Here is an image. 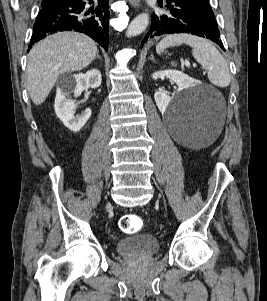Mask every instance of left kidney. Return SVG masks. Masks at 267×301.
I'll return each mask as SVG.
<instances>
[{
  "label": "left kidney",
  "mask_w": 267,
  "mask_h": 301,
  "mask_svg": "<svg viewBox=\"0 0 267 301\" xmlns=\"http://www.w3.org/2000/svg\"><path fill=\"white\" fill-rule=\"evenodd\" d=\"M164 77L169 78L170 80L175 82L178 86L179 91L187 90L190 87H193L194 83L198 82L192 79L191 77H189L188 75L176 70H163L152 74V78L154 80L158 78H164ZM154 98L159 110L162 112L166 111L168 105L172 101V97H169L167 94L163 92H156L154 94Z\"/></svg>",
  "instance_id": "left-kidney-1"
}]
</instances>
